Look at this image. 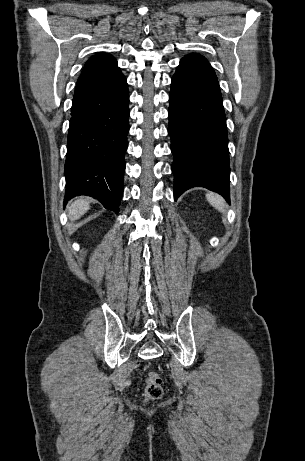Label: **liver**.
I'll use <instances>...</instances> for the list:
<instances>
[{
	"mask_svg": "<svg viewBox=\"0 0 305 461\" xmlns=\"http://www.w3.org/2000/svg\"><path fill=\"white\" fill-rule=\"evenodd\" d=\"M89 209V201L85 198H78L68 206V216L70 220H77Z\"/></svg>",
	"mask_w": 305,
	"mask_h": 461,
	"instance_id": "obj_1",
	"label": "liver"
}]
</instances>
